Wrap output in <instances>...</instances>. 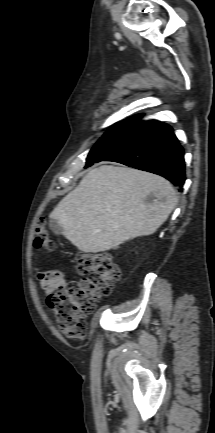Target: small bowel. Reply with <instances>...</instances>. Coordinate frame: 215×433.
I'll list each match as a JSON object with an SVG mask.
<instances>
[{"mask_svg":"<svg viewBox=\"0 0 215 433\" xmlns=\"http://www.w3.org/2000/svg\"><path fill=\"white\" fill-rule=\"evenodd\" d=\"M38 281L42 289L51 294L57 289L66 286L68 283L67 276L59 270L51 269L47 271H40L37 275Z\"/></svg>","mask_w":215,"mask_h":433,"instance_id":"1","label":"small bowel"}]
</instances>
